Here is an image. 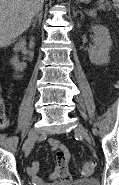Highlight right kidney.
Wrapping results in <instances>:
<instances>
[{
  "label": "right kidney",
  "mask_w": 119,
  "mask_h": 185,
  "mask_svg": "<svg viewBox=\"0 0 119 185\" xmlns=\"http://www.w3.org/2000/svg\"><path fill=\"white\" fill-rule=\"evenodd\" d=\"M26 45V40L25 39H21L14 47V52L17 53L18 51H20L21 49H23ZM10 63L13 65L14 69L16 72H22L27 64L26 63H20L18 60V56L15 55L13 56V58L10 60ZM16 78H21V76H16Z\"/></svg>",
  "instance_id": "obj_1"
}]
</instances>
